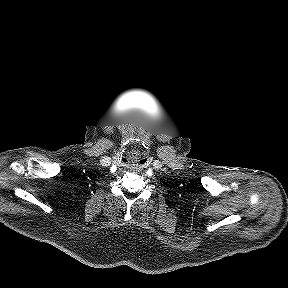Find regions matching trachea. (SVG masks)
<instances>
[{
  "instance_id": "obj_1",
  "label": "trachea",
  "mask_w": 288,
  "mask_h": 288,
  "mask_svg": "<svg viewBox=\"0 0 288 288\" xmlns=\"http://www.w3.org/2000/svg\"><path fill=\"white\" fill-rule=\"evenodd\" d=\"M141 157L138 152H132L128 155V162L129 164L137 165L141 163Z\"/></svg>"
}]
</instances>
